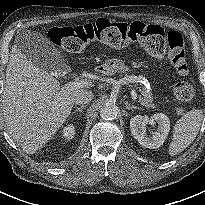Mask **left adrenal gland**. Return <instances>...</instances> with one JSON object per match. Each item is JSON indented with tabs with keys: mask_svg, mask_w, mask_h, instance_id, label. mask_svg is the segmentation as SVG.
<instances>
[{
	"mask_svg": "<svg viewBox=\"0 0 205 205\" xmlns=\"http://www.w3.org/2000/svg\"><path fill=\"white\" fill-rule=\"evenodd\" d=\"M125 107H126L127 110H131V109H139V110H141L140 107H136L134 105H131L128 101L125 102Z\"/></svg>",
	"mask_w": 205,
	"mask_h": 205,
	"instance_id": "a2214340",
	"label": "left adrenal gland"
}]
</instances>
